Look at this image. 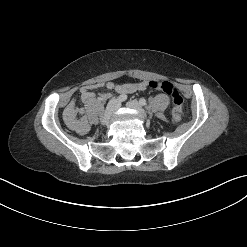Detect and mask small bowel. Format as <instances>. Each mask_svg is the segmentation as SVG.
I'll return each instance as SVG.
<instances>
[{"label":"small bowel","mask_w":247,"mask_h":247,"mask_svg":"<svg viewBox=\"0 0 247 247\" xmlns=\"http://www.w3.org/2000/svg\"><path fill=\"white\" fill-rule=\"evenodd\" d=\"M106 87L109 90H115L119 93H133L136 91L145 90L148 87V82L141 81L137 83H127L122 85L114 84L113 82L96 83L87 87H82L79 90L80 98L83 102L91 101L95 96V89ZM100 97L105 99L107 96L101 94ZM64 121L68 128L76 131L80 135L86 134L90 130V124L86 117V110L76 106L75 100H71L64 110Z\"/></svg>","instance_id":"small-bowel-1"}]
</instances>
